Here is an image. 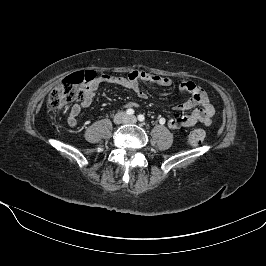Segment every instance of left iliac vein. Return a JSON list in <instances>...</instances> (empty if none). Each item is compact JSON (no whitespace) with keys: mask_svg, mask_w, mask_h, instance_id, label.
I'll use <instances>...</instances> for the list:
<instances>
[{"mask_svg":"<svg viewBox=\"0 0 266 266\" xmlns=\"http://www.w3.org/2000/svg\"><path fill=\"white\" fill-rule=\"evenodd\" d=\"M136 120H137V119H136L135 116H131V117L128 118V121H129V122H132V123H135Z\"/></svg>","mask_w":266,"mask_h":266,"instance_id":"obj_1","label":"left iliac vein"}]
</instances>
